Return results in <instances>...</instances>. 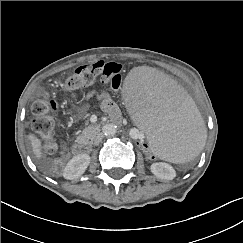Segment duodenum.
<instances>
[{"label":"duodenum","instance_id":"obj_1","mask_svg":"<svg viewBox=\"0 0 243 243\" xmlns=\"http://www.w3.org/2000/svg\"><path fill=\"white\" fill-rule=\"evenodd\" d=\"M73 151L76 154H86L89 152V146L85 142L78 141L73 145Z\"/></svg>","mask_w":243,"mask_h":243}]
</instances>
